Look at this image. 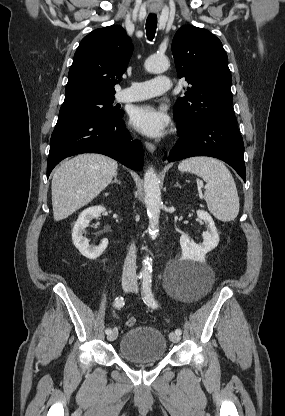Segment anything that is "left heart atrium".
<instances>
[{
  "mask_svg": "<svg viewBox=\"0 0 285 416\" xmlns=\"http://www.w3.org/2000/svg\"><path fill=\"white\" fill-rule=\"evenodd\" d=\"M130 121L137 130L153 138L164 135L169 124L168 116L149 104L137 106Z\"/></svg>",
  "mask_w": 285,
  "mask_h": 416,
  "instance_id": "1",
  "label": "left heart atrium"
}]
</instances>
